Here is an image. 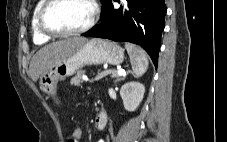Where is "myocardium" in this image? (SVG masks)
Listing matches in <instances>:
<instances>
[{
  "label": "myocardium",
  "mask_w": 227,
  "mask_h": 142,
  "mask_svg": "<svg viewBox=\"0 0 227 142\" xmlns=\"http://www.w3.org/2000/svg\"><path fill=\"white\" fill-rule=\"evenodd\" d=\"M60 0H45L44 4L39 10L38 13V26L41 32H43L46 35L52 36V37H67V36H73V35H78L82 34L88 30H90L97 22L99 18V5L96 0H87L88 3L91 6L92 9V14L91 18L88 21L86 25H84L81 28L71 30V31H58L53 28H51L46 20L47 13L50 10V8L58 3Z\"/></svg>",
  "instance_id": "obj_1"
}]
</instances>
